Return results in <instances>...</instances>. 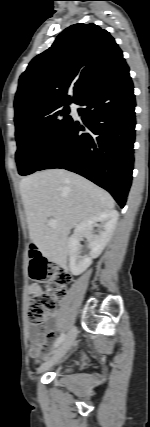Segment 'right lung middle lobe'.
<instances>
[{
    "mask_svg": "<svg viewBox=\"0 0 150 427\" xmlns=\"http://www.w3.org/2000/svg\"><path fill=\"white\" fill-rule=\"evenodd\" d=\"M68 105H56L33 111L15 121L18 150L16 162L20 175L37 170L73 119Z\"/></svg>",
    "mask_w": 150,
    "mask_h": 427,
    "instance_id": "1",
    "label": "right lung middle lobe"
}]
</instances>
